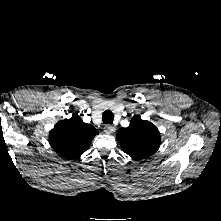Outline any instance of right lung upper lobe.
I'll return each instance as SVG.
<instances>
[{
	"label": "right lung upper lobe",
	"mask_w": 221,
	"mask_h": 221,
	"mask_svg": "<svg viewBox=\"0 0 221 221\" xmlns=\"http://www.w3.org/2000/svg\"><path fill=\"white\" fill-rule=\"evenodd\" d=\"M98 131L84 123L78 114L70 119L58 122L50 131L49 138L53 149L69 159L80 157L84 153Z\"/></svg>",
	"instance_id": "obj_1"
}]
</instances>
